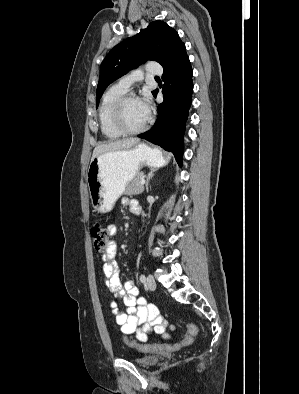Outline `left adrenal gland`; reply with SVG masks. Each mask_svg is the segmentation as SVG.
<instances>
[{
  "label": "left adrenal gland",
  "instance_id": "obj_1",
  "mask_svg": "<svg viewBox=\"0 0 299 394\" xmlns=\"http://www.w3.org/2000/svg\"><path fill=\"white\" fill-rule=\"evenodd\" d=\"M157 171V169H152L149 173H148V175H147V178H146V191L148 192L149 191V181H150V179L153 177V175H154V173Z\"/></svg>",
  "mask_w": 299,
  "mask_h": 394
}]
</instances>
